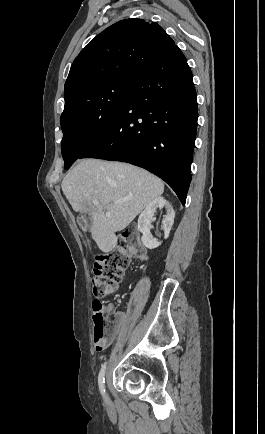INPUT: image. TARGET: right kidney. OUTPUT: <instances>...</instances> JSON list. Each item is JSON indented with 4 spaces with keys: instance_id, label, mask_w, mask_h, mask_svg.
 Here are the masks:
<instances>
[{
    "instance_id": "obj_1",
    "label": "right kidney",
    "mask_w": 265,
    "mask_h": 434,
    "mask_svg": "<svg viewBox=\"0 0 265 434\" xmlns=\"http://www.w3.org/2000/svg\"><path fill=\"white\" fill-rule=\"evenodd\" d=\"M157 208H166V216L163 220V230H164V238L167 240L169 236V232L174 224V218H175V212L170 206L169 202L167 200H164V198H155L153 202H150L148 206H146L144 212L140 214L138 218V230L139 232H142L143 236L141 238V242L145 248H149V250H153V248H158L160 246L161 242H157V240H153L152 234L150 232V222L153 220L155 216V212Z\"/></svg>"
}]
</instances>
